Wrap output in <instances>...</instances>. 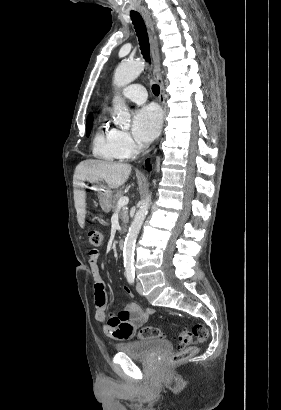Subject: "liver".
Masks as SVG:
<instances>
[{
	"instance_id": "liver-1",
	"label": "liver",
	"mask_w": 281,
	"mask_h": 410,
	"mask_svg": "<svg viewBox=\"0 0 281 410\" xmlns=\"http://www.w3.org/2000/svg\"><path fill=\"white\" fill-rule=\"evenodd\" d=\"M131 173V165L125 163H112L102 160L87 159L80 162L73 175V186L84 188L82 180L99 182L104 180L109 189L122 186ZM74 202L77 212V220L81 228L85 225L86 216V193L75 189Z\"/></svg>"
}]
</instances>
